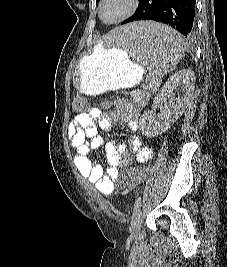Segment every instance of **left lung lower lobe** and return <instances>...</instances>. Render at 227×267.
I'll list each match as a JSON object with an SVG mask.
<instances>
[{
	"instance_id": "0a47b994",
	"label": "left lung lower lobe",
	"mask_w": 227,
	"mask_h": 267,
	"mask_svg": "<svg viewBox=\"0 0 227 267\" xmlns=\"http://www.w3.org/2000/svg\"><path fill=\"white\" fill-rule=\"evenodd\" d=\"M195 3L196 0H140L136 12L121 24L153 20L170 25L190 37L195 32ZM156 42L154 38L149 40L151 45ZM162 44L168 45L166 42Z\"/></svg>"
}]
</instances>
